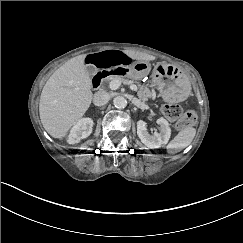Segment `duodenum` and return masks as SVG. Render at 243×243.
<instances>
[{
    "label": "duodenum",
    "mask_w": 243,
    "mask_h": 243,
    "mask_svg": "<svg viewBox=\"0 0 243 243\" xmlns=\"http://www.w3.org/2000/svg\"><path fill=\"white\" fill-rule=\"evenodd\" d=\"M133 68L130 66H121L108 70L97 72L92 78L93 88H98L101 82L106 78H124L132 74Z\"/></svg>",
    "instance_id": "duodenum-1"
}]
</instances>
